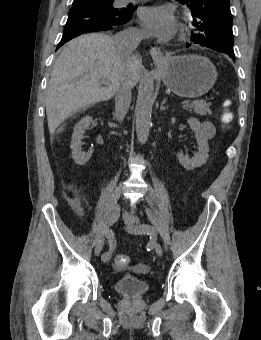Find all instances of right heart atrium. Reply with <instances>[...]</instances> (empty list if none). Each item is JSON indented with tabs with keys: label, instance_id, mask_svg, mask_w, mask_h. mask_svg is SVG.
I'll return each instance as SVG.
<instances>
[{
	"label": "right heart atrium",
	"instance_id": "1",
	"mask_svg": "<svg viewBox=\"0 0 261 340\" xmlns=\"http://www.w3.org/2000/svg\"><path fill=\"white\" fill-rule=\"evenodd\" d=\"M131 33L132 34H139L140 32L137 29H133V30H131Z\"/></svg>",
	"mask_w": 261,
	"mask_h": 340
}]
</instances>
